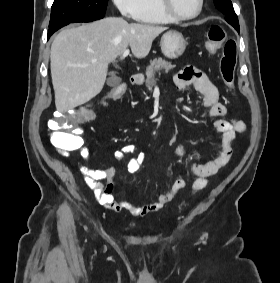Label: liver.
<instances>
[{
	"label": "liver",
	"mask_w": 280,
	"mask_h": 283,
	"mask_svg": "<svg viewBox=\"0 0 280 283\" xmlns=\"http://www.w3.org/2000/svg\"><path fill=\"white\" fill-rule=\"evenodd\" d=\"M167 27L128 23L107 17L62 30L51 46L50 69L57 111L63 113L90 101L102 90L108 65L130 46L146 57L154 39Z\"/></svg>",
	"instance_id": "liver-1"
}]
</instances>
